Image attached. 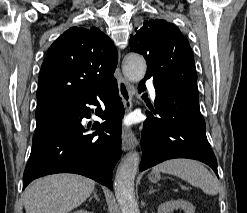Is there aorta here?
<instances>
[{
    "label": "aorta",
    "mask_w": 247,
    "mask_h": 213,
    "mask_svg": "<svg viewBox=\"0 0 247 213\" xmlns=\"http://www.w3.org/2000/svg\"><path fill=\"white\" fill-rule=\"evenodd\" d=\"M122 70L128 80L137 83L142 80L146 74V61L141 55L130 53L125 57ZM139 163V153L131 152L117 169L114 190L121 213H139L134 197V179Z\"/></svg>",
    "instance_id": "obj_1"
}]
</instances>
